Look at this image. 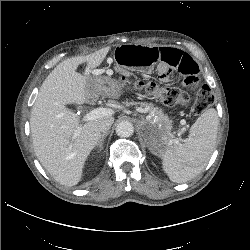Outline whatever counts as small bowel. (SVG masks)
Listing matches in <instances>:
<instances>
[{
	"instance_id": "1",
	"label": "small bowel",
	"mask_w": 250,
	"mask_h": 250,
	"mask_svg": "<svg viewBox=\"0 0 250 250\" xmlns=\"http://www.w3.org/2000/svg\"><path fill=\"white\" fill-rule=\"evenodd\" d=\"M113 66L118 72L144 77L156 75L163 82L178 72L185 87L195 90L199 86V67L188 54L176 48H161L125 44L114 51Z\"/></svg>"
}]
</instances>
